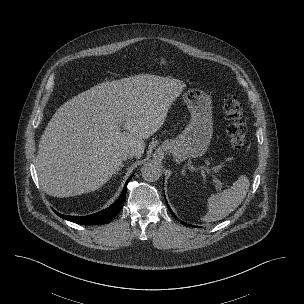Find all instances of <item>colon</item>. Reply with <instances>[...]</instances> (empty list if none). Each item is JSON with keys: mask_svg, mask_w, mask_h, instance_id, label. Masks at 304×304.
I'll use <instances>...</instances> for the list:
<instances>
[{"mask_svg": "<svg viewBox=\"0 0 304 304\" xmlns=\"http://www.w3.org/2000/svg\"><path fill=\"white\" fill-rule=\"evenodd\" d=\"M156 62L166 63L162 57L156 58ZM223 113L228 121L227 135L233 149L241 150L246 144L247 125L242 112V105L235 96L224 99Z\"/></svg>", "mask_w": 304, "mask_h": 304, "instance_id": "obj_1", "label": "colon"}]
</instances>
